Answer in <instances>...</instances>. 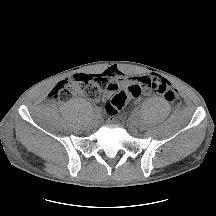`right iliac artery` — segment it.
<instances>
[{"mask_svg":"<svg viewBox=\"0 0 216 216\" xmlns=\"http://www.w3.org/2000/svg\"><path fill=\"white\" fill-rule=\"evenodd\" d=\"M94 113L96 114V115H99L100 113H101V109L100 108H95L94 109Z\"/></svg>","mask_w":216,"mask_h":216,"instance_id":"obj_1","label":"right iliac artery"}]
</instances>
